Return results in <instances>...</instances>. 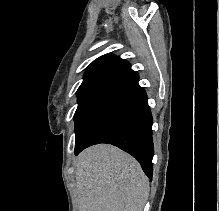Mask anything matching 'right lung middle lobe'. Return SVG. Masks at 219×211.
<instances>
[{
    "instance_id": "dd1d6c3e",
    "label": "right lung middle lobe",
    "mask_w": 219,
    "mask_h": 211,
    "mask_svg": "<svg viewBox=\"0 0 219 211\" xmlns=\"http://www.w3.org/2000/svg\"><path fill=\"white\" fill-rule=\"evenodd\" d=\"M109 91L110 90H96L78 95V107L74 115L76 139L79 138L83 128Z\"/></svg>"
}]
</instances>
